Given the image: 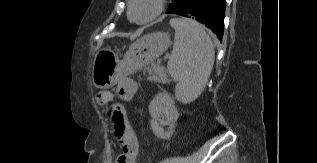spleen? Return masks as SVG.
Here are the masks:
<instances>
[{"mask_svg":"<svg viewBox=\"0 0 317 163\" xmlns=\"http://www.w3.org/2000/svg\"><path fill=\"white\" fill-rule=\"evenodd\" d=\"M170 25L175 30V39L167 69L178 81L176 98L187 104L198 98L206 87L214 65V45L194 20L173 18Z\"/></svg>","mask_w":317,"mask_h":163,"instance_id":"obj_1","label":"spleen"}]
</instances>
